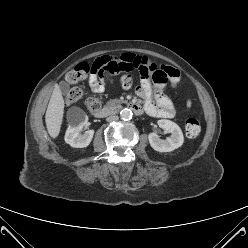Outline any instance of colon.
<instances>
[{"mask_svg":"<svg viewBox=\"0 0 248 248\" xmlns=\"http://www.w3.org/2000/svg\"><path fill=\"white\" fill-rule=\"evenodd\" d=\"M114 73L115 69L113 68V63H103L98 60L93 64H79L73 70L68 72L66 79L71 84L79 83L91 75H95L103 80H111ZM140 76L142 78L149 77L157 82L165 81L162 75L158 78L154 74H147L146 72L140 71ZM132 82L133 75L131 73L123 74L120 77V84L123 88H129L132 85ZM82 97L83 91L78 87H74L67 93L66 102L68 104H73L82 99ZM186 104L189 107L191 105L190 100H187ZM85 106L90 113H96L101 109L102 103L100 99L88 96L85 99ZM185 131L189 137L198 136L201 132L200 122L196 118H188L185 122Z\"/></svg>","mask_w":248,"mask_h":248,"instance_id":"colon-1","label":"colon"}]
</instances>
